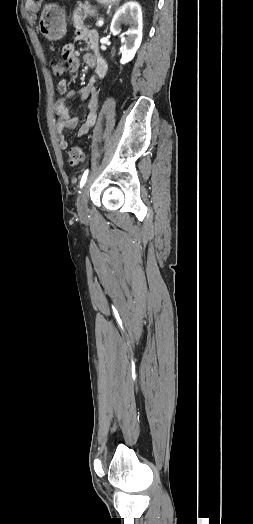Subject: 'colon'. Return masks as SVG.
I'll return each instance as SVG.
<instances>
[{"label":"colon","instance_id":"1","mask_svg":"<svg viewBox=\"0 0 253 524\" xmlns=\"http://www.w3.org/2000/svg\"><path fill=\"white\" fill-rule=\"evenodd\" d=\"M52 75L54 78H60L65 73L66 64L63 59L55 57L50 61ZM84 160V151L81 147H72L68 151V163L71 166L79 165Z\"/></svg>","mask_w":253,"mask_h":524}]
</instances>
